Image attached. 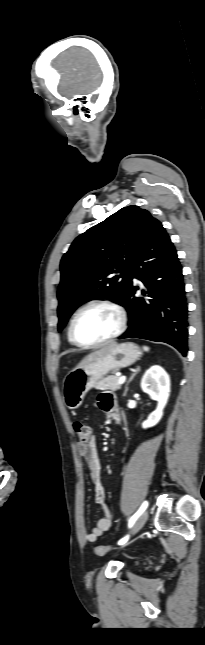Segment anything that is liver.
I'll list each match as a JSON object with an SVG mask.
<instances>
[{
    "label": "liver",
    "mask_w": 205,
    "mask_h": 645,
    "mask_svg": "<svg viewBox=\"0 0 205 645\" xmlns=\"http://www.w3.org/2000/svg\"><path fill=\"white\" fill-rule=\"evenodd\" d=\"M116 345H117L116 343H111V344H109V345H107V346L102 347L101 349H99V350H97V351L92 352L91 354H89L88 356H86V357H85V358H84V359H83V360L78 364V366H77L75 369H77V368H81V367L85 366L86 364H88V363L92 362L93 360H95V359H97V358H99V357H101V356H104L105 354H107V353L111 352V351L116 347Z\"/></svg>",
    "instance_id": "6515ba94"
}]
</instances>
